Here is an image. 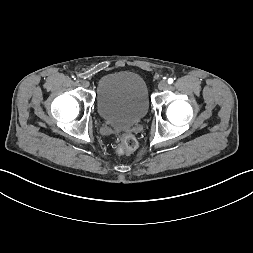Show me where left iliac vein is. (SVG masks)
Instances as JSON below:
<instances>
[{"instance_id": "obj_1", "label": "left iliac vein", "mask_w": 253, "mask_h": 253, "mask_svg": "<svg viewBox=\"0 0 253 253\" xmlns=\"http://www.w3.org/2000/svg\"><path fill=\"white\" fill-rule=\"evenodd\" d=\"M168 83H167V81L166 80H161L160 82H159V84H158V88H159V90H165V89H167L168 88Z\"/></svg>"}]
</instances>
